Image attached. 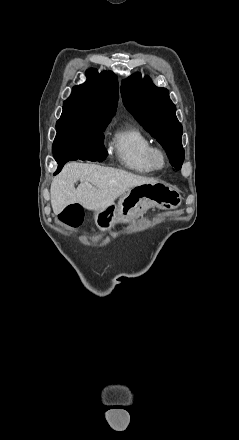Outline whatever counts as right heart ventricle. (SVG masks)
I'll return each mask as SVG.
<instances>
[{
  "label": "right heart ventricle",
  "instance_id": "e07e8e85",
  "mask_svg": "<svg viewBox=\"0 0 239 440\" xmlns=\"http://www.w3.org/2000/svg\"><path fill=\"white\" fill-rule=\"evenodd\" d=\"M110 145L116 161L124 168L139 174L155 172L149 158L153 143L141 129L128 126L116 130Z\"/></svg>",
  "mask_w": 239,
  "mask_h": 440
}]
</instances>
